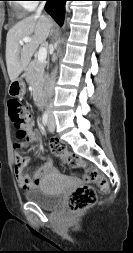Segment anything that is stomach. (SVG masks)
<instances>
[{"instance_id":"1","label":"stomach","mask_w":133,"mask_h":253,"mask_svg":"<svg viewBox=\"0 0 133 253\" xmlns=\"http://www.w3.org/2000/svg\"><path fill=\"white\" fill-rule=\"evenodd\" d=\"M26 86L23 79L17 78L9 85L8 93L12 97H22L25 94Z\"/></svg>"}]
</instances>
